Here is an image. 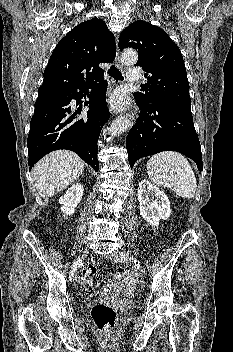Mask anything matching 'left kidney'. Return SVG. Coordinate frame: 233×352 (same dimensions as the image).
<instances>
[{"label":"left kidney","instance_id":"5707ae66","mask_svg":"<svg viewBox=\"0 0 233 352\" xmlns=\"http://www.w3.org/2000/svg\"><path fill=\"white\" fill-rule=\"evenodd\" d=\"M139 210L142 218L151 226H158L171 214L170 201L163 191L147 179L138 187Z\"/></svg>","mask_w":233,"mask_h":352}]
</instances>
